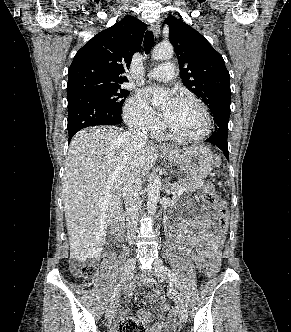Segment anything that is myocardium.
Returning a JSON list of instances; mask_svg holds the SVG:
<instances>
[{
  "mask_svg": "<svg viewBox=\"0 0 291 332\" xmlns=\"http://www.w3.org/2000/svg\"><path fill=\"white\" fill-rule=\"evenodd\" d=\"M177 100L195 103L201 109V111L205 117V129L202 133H200L198 135H185V134H181V133L175 131L167 122H165L164 130L171 137H173L175 139H179V140H184V141H199V140H202V139L206 138L207 136H209V134L211 133L212 128H213V120H212L211 113H210L208 107L206 106V104L203 101H201L199 98L194 97V96H189V95H182V96L178 97Z\"/></svg>",
  "mask_w": 291,
  "mask_h": 332,
  "instance_id": "1",
  "label": "myocardium"
}]
</instances>
